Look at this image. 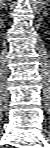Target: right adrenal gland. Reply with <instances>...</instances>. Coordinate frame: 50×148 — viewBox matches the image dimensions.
<instances>
[{
  "label": "right adrenal gland",
  "mask_w": 50,
  "mask_h": 148,
  "mask_svg": "<svg viewBox=\"0 0 50 148\" xmlns=\"http://www.w3.org/2000/svg\"><path fill=\"white\" fill-rule=\"evenodd\" d=\"M4 8L7 11V5L3 2L1 3V9Z\"/></svg>",
  "instance_id": "2a0ac1e0"
}]
</instances>
